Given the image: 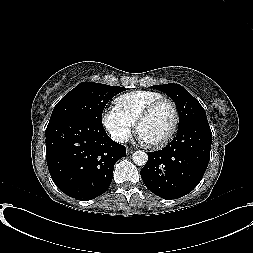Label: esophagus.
Returning <instances> with one entry per match:
<instances>
[{
	"label": "esophagus",
	"mask_w": 253,
	"mask_h": 253,
	"mask_svg": "<svg viewBox=\"0 0 253 253\" xmlns=\"http://www.w3.org/2000/svg\"><path fill=\"white\" fill-rule=\"evenodd\" d=\"M135 151V149H133L132 147H127V153L131 154Z\"/></svg>",
	"instance_id": "34e87169"
}]
</instances>
